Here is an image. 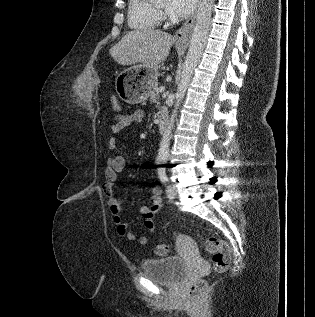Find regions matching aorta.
Wrapping results in <instances>:
<instances>
[{
  "label": "aorta",
  "instance_id": "obj_1",
  "mask_svg": "<svg viewBox=\"0 0 315 317\" xmlns=\"http://www.w3.org/2000/svg\"><path fill=\"white\" fill-rule=\"evenodd\" d=\"M214 2L215 0H199L195 27L183 66V71L181 73V80L178 84L175 95L176 103L170 117V121L164 130V134L159 145L157 157L158 161H165L169 156L170 140L172 137L175 118L177 116V110L185 96L187 87L191 81L194 70L200 61L203 49L206 45Z\"/></svg>",
  "mask_w": 315,
  "mask_h": 317
}]
</instances>
